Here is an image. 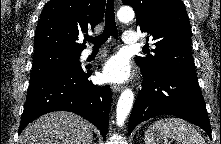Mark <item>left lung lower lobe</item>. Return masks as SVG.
<instances>
[{
  "label": "left lung lower lobe",
  "mask_w": 221,
  "mask_h": 144,
  "mask_svg": "<svg viewBox=\"0 0 221 144\" xmlns=\"http://www.w3.org/2000/svg\"><path fill=\"white\" fill-rule=\"evenodd\" d=\"M142 89L133 106L128 133L141 122L159 115L183 118L207 132L211 128L197 75L173 68H142Z\"/></svg>",
  "instance_id": "obj_1"
}]
</instances>
